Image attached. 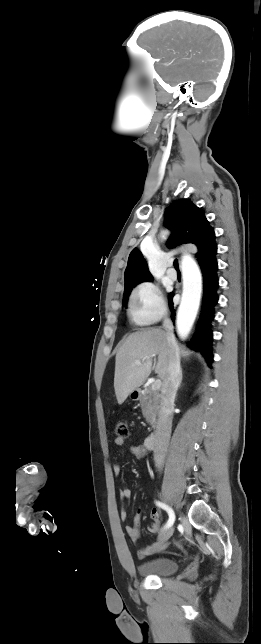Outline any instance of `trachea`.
<instances>
[{"instance_id": "3493384b", "label": "trachea", "mask_w": 261, "mask_h": 644, "mask_svg": "<svg viewBox=\"0 0 261 644\" xmlns=\"http://www.w3.org/2000/svg\"><path fill=\"white\" fill-rule=\"evenodd\" d=\"M174 267H175L176 269H179V264H178V260H177V259H175V260H174Z\"/></svg>"}]
</instances>
